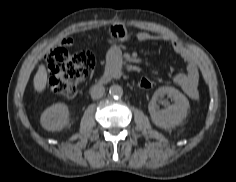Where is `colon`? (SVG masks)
<instances>
[{"label":"colon","mask_w":236,"mask_h":182,"mask_svg":"<svg viewBox=\"0 0 236 182\" xmlns=\"http://www.w3.org/2000/svg\"><path fill=\"white\" fill-rule=\"evenodd\" d=\"M111 34L116 36L113 32ZM95 64V56L88 50L69 53L64 45L55 46L47 56L51 91L64 99L73 98L78 83L93 71ZM138 85L142 89H151L155 83L151 78L142 76Z\"/></svg>","instance_id":"obj_1"}]
</instances>
